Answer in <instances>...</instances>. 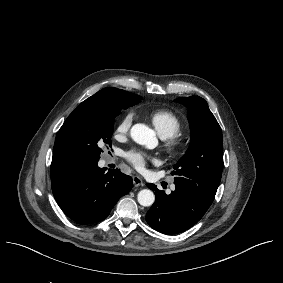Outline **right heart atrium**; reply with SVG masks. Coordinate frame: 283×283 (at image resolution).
Masks as SVG:
<instances>
[{
    "label": "right heart atrium",
    "mask_w": 283,
    "mask_h": 283,
    "mask_svg": "<svg viewBox=\"0 0 283 283\" xmlns=\"http://www.w3.org/2000/svg\"><path fill=\"white\" fill-rule=\"evenodd\" d=\"M133 117L131 114H126L123 118L118 120L114 125L113 137L114 139H121L128 135Z\"/></svg>",
    "instance_id": "d8ad5b80"
}]
</instances>
